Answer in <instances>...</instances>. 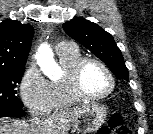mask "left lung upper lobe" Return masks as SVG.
I'll list each match as a JSON object with an SVG mask.
<instances>
[{
	"label": "left lung upper lobe",
	"mask_w": 153,
	"mask_h": 134,
	"mask_svg": "<svg viewBox=\"0 0 153 134\" xmlns=\"http://www.w3.org/2000/svg\"><path fill=\"white\" fill-rule=\"evenodd\" d=\"M63 29L101 59L118 79L128 81V69L111 34L82 17L64 23Z\"/></svg>",
	"instance_id": "left-lung-upper-lobe-1"
}]
</instances>
